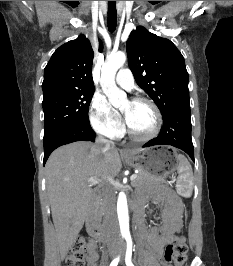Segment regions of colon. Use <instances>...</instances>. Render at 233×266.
I'll use <instances>...</instances> for the list:
<instances>
[{
	"label": "colon",
	"instance_id": "obj_1",
	"mask_svg": "<svg viewBox=\"0 0 233 266\" xmlns=\"http://www.w3.org/2000/svg\"><path fill=\"white\" fill-rule=\"evenodd\" d=\"M87 247L86 237L79 236L71 246L66 266H83ZM187 252L188 247L184 236H178L173 243L166 247L164 258L166 262L172 263L174 266H184L187 261Z\"/></svg>",
	"mask_w": 233,
	"mask_h": 266
}]
</instances>
